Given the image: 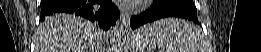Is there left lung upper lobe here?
I'll list each match as a JSON object with an SVG mask.
<instances>
[{"label":"left lung upper lobe","instance_id":"5c2ea615","mask_svg":"<svg viewBox=\"0 0 261 52\" xmlns=\"http://www.w3.org/2000/svg\"><path fill=\"white\" fill-rule=\"evenodd\" d=\"M160 1H169V2L183 1L195 6L192 0H160Z\"/></svg>","mask_w":261,"mask_h":52}]
</instances>
